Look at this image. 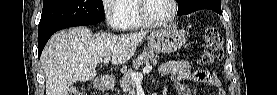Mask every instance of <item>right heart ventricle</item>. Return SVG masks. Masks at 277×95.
I'll use <instances>...</instances> for the list:
<instances>
[{
    "instance_id": "obj_1",
    "label": "right heart ventricle",
    "mask_w": 277,
    "mask_h": 95,
    "mask_svg": "<svg viewBox=\"0 0 277 95\" xmlns=\"http://www.w3.org/2000/svg\"><path fill=\"white\" fill-rule=\"evenodd\" d=\"M138 0H124L119 6L123 10L122 24L124 28L136 29L145 27L137 11Z\"/></svg>"
}]
</instances>
